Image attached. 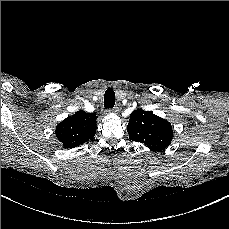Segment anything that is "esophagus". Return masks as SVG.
Masks as SVG:
<instances>
[{
	"label": "esophagus",
	"instance_id": "34e87169",
	"mask_svg": "<svg viewBox=\"0 0 229 229\" xmlns=\"http://www.w3.org/2000/svg\"><path fill=\"white\" fill-rule=\"evenodd\" d=\"M107 111L108 112H113V113H118L119 112V108L117 106H115L114 108H110Z\"/></svg>",
	"mask_w": 229,
	"mask_h": 229
}]
</instances>
